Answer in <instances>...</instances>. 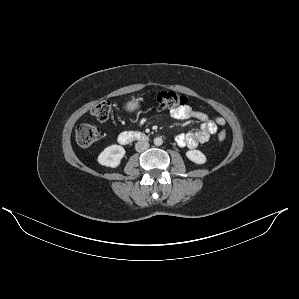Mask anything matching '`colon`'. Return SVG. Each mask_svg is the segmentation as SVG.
<instances>
[{
  "mask_svg": "<svg viewBox=\"0 0 299 299\" xmlns=\"http://www.w3.org/2000/svg\"><path fill=\"white\" fill-rule=\"evenodd\" d=\"M152 100L163 110H171L182 107L186 104L185 96L170 90H160L151 93ZM111 112V103L109 100L99 101L91 110L92 115L100 121L109 118ZM100 137L99 129L92 124L79 125L75 131L76 142L83 147L90 146ZM227 137L226 132L221 131L218 139L224 141Z\"/></svg>",
  "mask_w": 299,
  "mask_h": 299,
  "instance_id": "colon-1",
  "label": "colon"
}]
</instances>
